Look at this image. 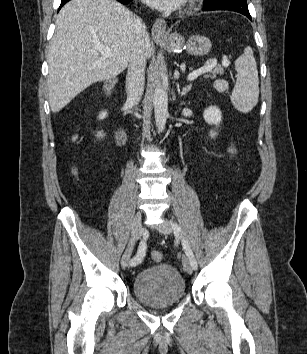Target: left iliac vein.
<instances>
[{
  "label": "left iliac vein",
  "instance_id": "left-iliac-vein-1",
  "mask_svg": "<svg viewBox=\"0 0 307 354\" xmlns=\"http://www.w3.org/2000/svg\"><path fill=\"white\" fill-rule=\"evenodd\" d=\"M158 230L164 235H169L172 233V227L168 222L158 225ZM182 263L185 272L192 274L193 269L187 256L183 255Z\"/></svg>",
  "mask_w": 307,
  "mask_h": 354
}]
</instances>
